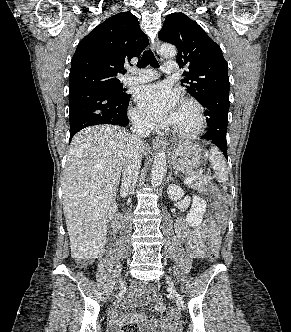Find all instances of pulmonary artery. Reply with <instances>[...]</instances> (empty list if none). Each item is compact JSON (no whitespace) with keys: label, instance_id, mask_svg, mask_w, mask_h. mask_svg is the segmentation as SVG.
I'll list each match as a JSON object with an SVG mask.
<instances>
[{"label":"pulmonary artery","instance_id":"1","mask_svg":"<svg viewBox=\"0 0 291 332\" xmlns=\"http://www.w3.org/2000/svg\"><path fill=\"white\" fill-rule=\"evenodd\" d=\"M176 70H177V63L174 61L166 62L162 69V71L165 74L174 73V72H176ZM158 77H159V74L157 73V71L152 70V69H145V70L138 72L135 75H131V76L125 78L123 83L125 85H134V84L149 82V81L157 79Z\"/></svg>","mask_w":291,"mask_h":332}]
</instances>
